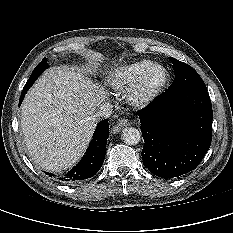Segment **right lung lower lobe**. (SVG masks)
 I'll return each mask as SVG.
<instances>
[{
	"label": "right lung lower lobe",
	"mask_w": 233,
	"mask_h": 233,
	"mask_svg": "<svg viewBox=\"0 0 233 233\" xmlns=\"http://www.w3.org/2000/svg\"><path fill=\"white\" fill-rule=\"evenodd\" d=\"M33 83V81H27L21 93L19 104H21L26 92ZM108 136V119H105L98 123L93 135V139L91 140L90 145L86 151V155L72 170H70L65 175L57 176V179L63 183H72L93 177L100 170L104 162ZM49 176L52 177L53 174H49Z\"/></svg>",
	"instance_id": "1"
}]
</instances>
